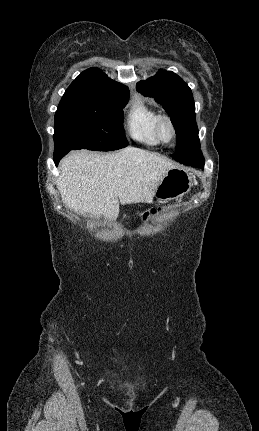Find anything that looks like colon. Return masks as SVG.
Segmentation results:
<instances>
[{
  "instance_id": "5ec220e1",
  "label": "colon",
  "mask_w": 259,
  "mask_h": 431,
  "mask_svg": "<svg viewBox=\"0 0 259 431\" xmlns=\"http://www.w3.org/2000/svg\"><path fill=\"white\" fill-rule=\"evenodd\" d=\"M156 213V209H152L149 213H146L144 218L146 219L149 215L155 214Z\"/></svg>"
}]
</instances>
